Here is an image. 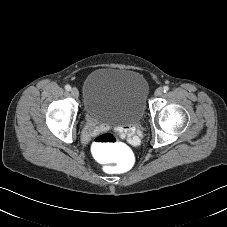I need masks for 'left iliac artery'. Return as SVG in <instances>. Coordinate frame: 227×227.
<instances>
[{"instance_id": "obj_1", "label": "left iliac artery", "mask_w": 227, "mask_h": 227, "mask_svg": "<svg viewBox=\"0 0 227 227\" xmlns=\"http://www.w3.org/2000/svg\"><path fill=\"white\" fill-rule=\"evenodd\" d=\"M163 91H164V92H168V91H169V87H168V86H164V87H163Z\"/></svg>"}]
</instances>
